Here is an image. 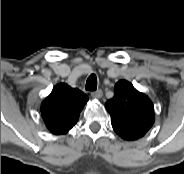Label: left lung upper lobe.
I'll use <instances>...</instances> for the list:
<instances>
[{
  "label": "left lung upper lobe",
  "mask_w": 184,
  "mask_h": 174,
  "mask_svg": "<svg viewBox=\"0 0 184 174\" xmlns=\"http://www.w3.org/2000/svg\"><path fill=\"white\" fill-rule=\"evenodd\" d=\"M105 107L111 115L114 131L125 140L143 137L154 123L151 100L126 80L115 84L114 97Z\"/></svg>",
  "instance_id": "5c2ea615"
}]
</instances>
